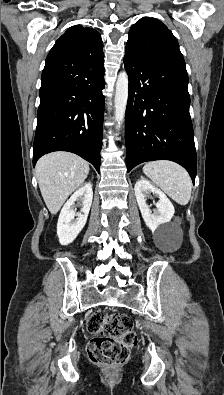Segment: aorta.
I'll list each match as a JSON object with an SVG mask.
<instances>
[{
    "instance_id": "aorta-1",
    "label": "aorta",
    "mask_w": 224,
    "mask_h": 395,
    "mask_svg": "<svg viewBox=\"0 0 224 395\" xmlns=\"http://www.w3.org/2000/svg\"><path fill=\"white\" fill-rule=\"evenodd\" d=\"M129 79L125 71L120 72L117 78L114 97V120L117 123L116 130H119L126 112L129 93Z\"/></svg>"
}]
</instances>
